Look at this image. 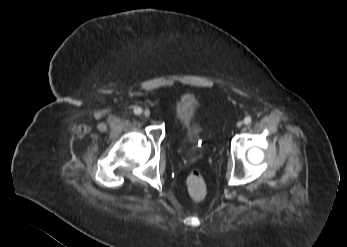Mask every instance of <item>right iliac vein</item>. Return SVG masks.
Instances as JSON below:
<instances>
[{
	"instance_id": "right-iliac-vein-1",
	"label": "right iliac vein",
	"mask_w": 347,
	"mask_h": 247,
	"mask_svg": "<svg viewBox=\"0 0 347 247\" xmlns=\"http://www.w3.org/2000/svg\"><path fill=\"white\" fill-rule=\"evenodd\" d=\"M143 115H144L145 117H149V116H150V111H149V110H145V111L143 112Z\"/></svg>"
}]
</instances>
